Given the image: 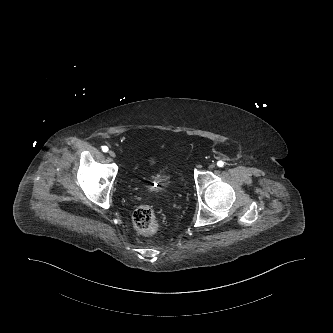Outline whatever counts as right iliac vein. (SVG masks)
I'll return each mask as SVG.
<instances>
[{"instance_id": "right-iliac-vein-1", "label": "right iliac vein", "mask_w": 333, "mask_h": 333, "mask_svg": "<svg viewBox=\"0 0 333 333\" xmlns=\"http://www.w3.org/2000/svg\"><path fill=\"white\" fill-rule=\"evenodd\" d=\"M109 155L112 157V158H114L115 156H116V154H115V152L114 151H109Z\"/></svg>"}]
</instances>
